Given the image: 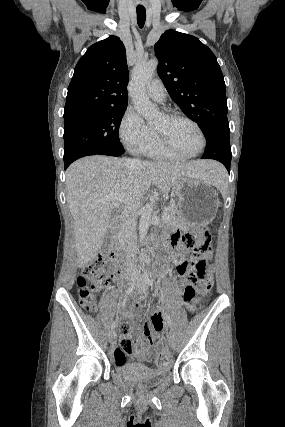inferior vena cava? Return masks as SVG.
<instances>
[{"instance_id": "602c4592", "label": "inferior vena cava", "mask_w": 285, "mask_h": 427, "mask_svg": "<svg viewBox=\"0 0 285 427\" xmlns=\"http://www.w3.org/2000/svg\"><path fill=\"white\" fill-rule=\"evenodd\" d=\"M136 162L140 160L136 159ZM122 220V239L123 246L128 253L127 271L130 273H137L138 267L134 261V256L137 249V238H136V218L134 215V208L129 205H125L121 212Z\"/></svg>"}]
</instances>
